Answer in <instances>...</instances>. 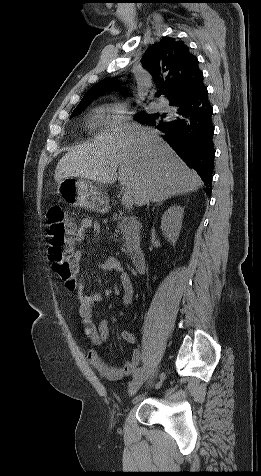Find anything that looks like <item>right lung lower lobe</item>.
Masks as SVG:
<instances>
[{
    "label": "right lung lower lobe",
    "instance_id": "98d812e1",
    "mask_svg": "<svg viewBox=\"0 0 261 476\" xmlns=\"http://www.w3.org/2000/svg\"><path fill=\"white\" fill-rule=\"evenodd\" d=\"M171 105L176 107V115H164L148 124L165 133L164 140L198 172L211 192L215 157L213 109L204 83L193 94Z\"/></svg>",
    "mask_w": 261,
    "mask_h": 476
}]
</instances>
